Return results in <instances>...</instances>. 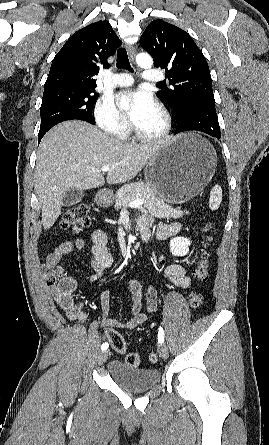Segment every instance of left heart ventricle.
I'll use <instances>...</instances> for the list:
<instances>
[{"mask_svg": "<svg viewBox=\"0 0 269 445\" xmlns=\"http://www.w3.org/2000/svg\"><path fill=\"white\" fill-rule=\"evenodd\" d=\"M135 126L144 134H155L162 129L163 118L156 108Z\"/></svg>", "mask_w": 269, "mask_h": 445, "instance_id": "obj_1", "label": "left heart ventricle"}]
</instances>
